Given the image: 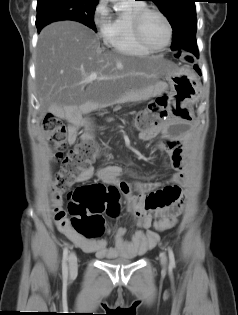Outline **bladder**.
I'll return each instance as SVG.
<instances>
[{
    "label": "bladder",
    "instance_id": "obj_1",
    "mask_svg": "<svg viewBox=\"0 0 238 315\" xmlns=\"http://www.w3.org/2000/svg\"><path fill=\"white\" fill-rule=\"evenodd\" d=\"M108 263L117 264V265H123V264H129L134 261V258H126L121 260H106Z\"/></svg>",
    "mask_w": 238,
    "mask_h": 315
}]
</instances>
